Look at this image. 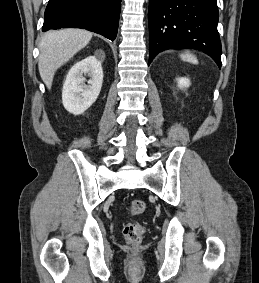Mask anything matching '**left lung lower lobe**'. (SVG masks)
I'll return each mask as SVG.
<instances>
[{"mask_svg": "<svg viewBox=\"0 0 259 283\" xmlns=\"http://www.w3.org/2000/svg\"><path fill=\"white\" fill-rule=\"evenodd\" d=\"M216 0H149V64L166 49H197L221 67Z\"/></svg>", "mask_w": 259, "mask_h": 283, "instance_id": "0a47b994", "label": "left lung lower lobe"}]
</instances>
